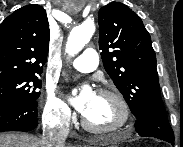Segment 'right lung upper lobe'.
Masks as SVG:
<instances>
[{"label": "right lung upper lobe", "instance_id": "cb5924a9", "mask_svg": "<svg viewBox=\"0 0 183 147\" xmlns=\"http://www.w3.org/2000/svg\"><path fill=\"white\" fill-rule=\"evenodd\" d=\"M46 11L37 4L12 13L0 25V79L42 72L49 49Z\"/></svg>", "mask_w": 183, "mask_h": 147}]
</instances>
